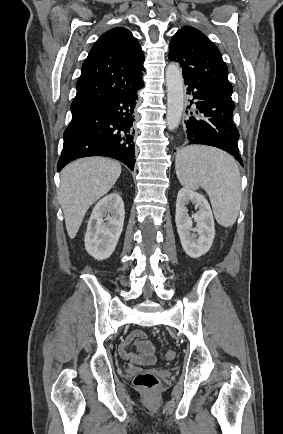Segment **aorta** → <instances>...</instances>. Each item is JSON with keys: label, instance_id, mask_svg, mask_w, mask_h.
<instances>
[{"label": "aorta", "instance_id": "1", "mask_svg": "<svg viewBox=\"0 0 283 434\" xmlns=\"http://www.w3.org/2000/svg\"><path fill=\"white\" fill-rule=\"evenodd\" d=\"M167 85L166 121L169 130L178 127L184 107V80L182 71L175 63H170L165 71Z\"/></svg>", "mask_w": 283, "mask_h": 434}]
</instances>
